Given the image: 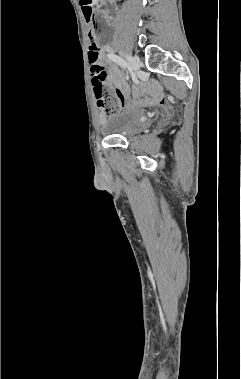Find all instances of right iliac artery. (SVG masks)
Instances as JSON below:
<instances>
[{
    "mask_svg": "<svg viewBox=\"0 0 241 379\" xmlns=\"http://www.w3.org/2000/svg\"><path fill=\"white\" fill-rule=\"evenodd\" d=\"M107 56H108V58L110 60H112L113 62L117 63L122 68L126 69L128 67L127 63L121 57L117 56L116 54L109 53Z\"/></svg>",
    "mask_w": 241,
    "mask_h": 379,
    "instance_id": "right-iliac-artery-1",
    "label": "right iliac artery"
}]
</instances>
